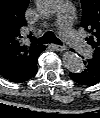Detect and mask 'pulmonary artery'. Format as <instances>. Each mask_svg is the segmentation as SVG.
Returning <instances> with one entry per match:
<instances>
[{
  "instance_id": "1",
  "label": "pulmonary artery",
  "mask_w": 100,
  "mask_h": 118,
  "mask_svg": "<svg viewBox=\"0 0 100 118\" xmlns=\"http://www.w3.org/2000/svg\"><path fill=\"white\" fill-rule=\"evenodd\" d=\"M74 10L70 3L63 4L58 12L59 33L75 50L83 55L91 54V46L87 44L72 28Z\"/></svg>"
}]
</instances>
